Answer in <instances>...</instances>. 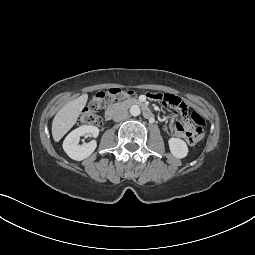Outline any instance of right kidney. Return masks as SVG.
<instances>
[{
    "mask_svg": "<svg viewBox=\"0 0 255 255\" xmlns=\"http://www.w3.org/2000/svg\"><path fill=\"white\" fill-rule=\"evenodd\" d=\"M87 134L89 137L96 138L99 129L92 125H83L73 130L67 135L63 142V149L66 154L73 160L81 161L89 157L97 147L95 140L89 143L79 144L80 137Z\"/></svg>",
    "mask_w": 255,
    "mask_h": 255,
    "instance_id": "1",
    "label": "right kidney"
}]
</instances>
